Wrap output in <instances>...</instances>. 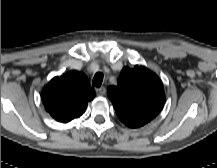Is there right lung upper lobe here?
Here are the masks:
<instances>
[{"label": "right lung upper lobe", "mask_w": 217, "mask_h": 168, "mask_svg": "<svg viewBox=\"0 0 217 168\" xmlns=\"http://www.w3.org/2000/svg\"><path fill=\"white\" fill-rule=\"evenodd\" d=\"M94 98L86 76L72 70L54 77L42 91L43 104L58 122L67 123L80 117Z\"/></svg>", "instance_id": "cb5924a9"}]
</instances>
